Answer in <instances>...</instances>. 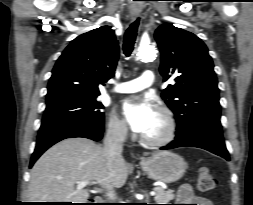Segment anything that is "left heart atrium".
<instances>
[{"label":"left heart atrium","mask_w":253,"mask_h":205,"mask_svg":"<svg viewBox=\"0 0 253 205\" xmlns=\"http://www.w3.org/2000/svg\"><path fill=\"white\" fill-rule=\"evenodd\" d=\"M156 112L148 99L127 102L123 107V114L131 129L139 134H143L149 128Z\"/></svg>","instance_id":"obj_1"}]
</instances>
